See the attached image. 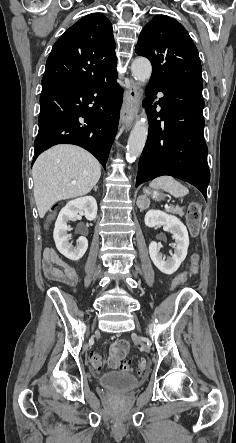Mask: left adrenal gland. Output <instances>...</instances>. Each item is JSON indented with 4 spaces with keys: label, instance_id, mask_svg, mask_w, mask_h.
<instances>
[{
    "label": "left adrenal gland",
    "instance_id": "a2214340",
    "mask_svg": "<svg viewBox=\"0 0 236 443\" xmlns=\"http://www.w3.org/2000/svg\"><path fill=\"white\" fill-rule=\"evenodd\" d=\"M137 206L140 208V209H142L143 207H142V204L138 201L137 202Z\"/></svg>",
    "mask_w": 236,
    "mask_h": 443
}]
</instances>
